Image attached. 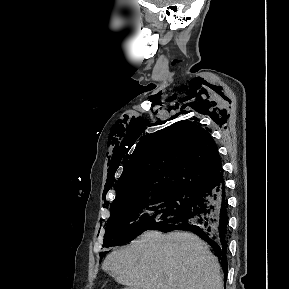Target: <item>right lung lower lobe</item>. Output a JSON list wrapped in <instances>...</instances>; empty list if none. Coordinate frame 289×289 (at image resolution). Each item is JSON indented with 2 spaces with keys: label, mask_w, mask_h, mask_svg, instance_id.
<instances>
[{
  "label": "right lung lower lobe",
  "mask_w": 289,
  "mask_h": 289,
  "mask_svg": "<svg viewBox=\"0 0 289 289\" xmlns=\"http://www.w3.org/2000/svg\"><path fill=\"white\" fill-rule=\"evenodd\" d=\"M193 192V198L183 214L170 218L156 228L162 232L189 230L198 235L215 251L227 276L228 202L223 175Z\"/></svg>",
  "instance_id": "98d812e1"
}]
</instances>
